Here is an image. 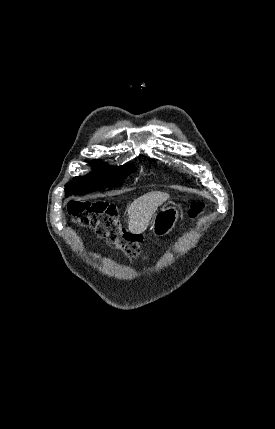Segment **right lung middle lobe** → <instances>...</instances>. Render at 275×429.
Returning a JSON list of instances; mask_svg holds the SVG:
<instances>
[{
    "instance_id": "1",
    "label": "right lung middle lobe",
    "mask_w": 275,
    "mask_h": 429,
    "mask_svg": "<svg viewBox=\"0 0 275 429\" xmlns=\"http://www.w3.org/2000/svg\"><path fill=\"white\" fill-rule=\"evenodd\" d=\"M134 166L124 165L121 167H108L104 169L96 168L87 177L77 176L74 181L65 185L66 197L71 194H82L95 191L101 187L117 185L126 176L135 172Z\"/></svg>"
}]
</instances>
